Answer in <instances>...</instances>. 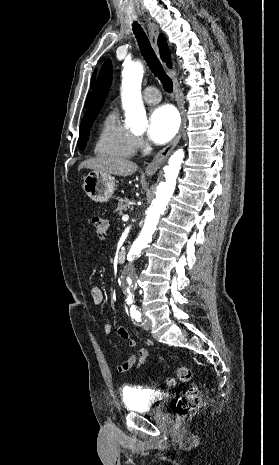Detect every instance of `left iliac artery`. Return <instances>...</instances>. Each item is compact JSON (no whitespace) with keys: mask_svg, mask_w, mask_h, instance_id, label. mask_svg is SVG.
<instances>
[{"mask_svg":"<svg viewBox=\"0 0 279 465\" xmlns=\"http://www.w3.org/2000/svg\"><path fill=\"white\" fill-rule=\"evenodd\" d=\"M130 313H131V317L135 319L137 322L141 321V313L135 305L131 306Z\"/></svg>","mask_w":279,"mask_h":465,"instance_id":"44dca946","label":"left iliac artery"}]
</instances>
